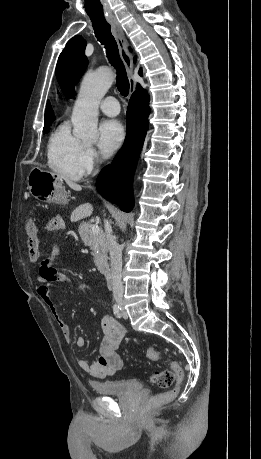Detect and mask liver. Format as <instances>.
<instances>
[{
  "label": "liver",
  "mask_w": 261,
  "mask_h": 459,
  "mask_svg": "<svg viewBox=\"0 0 261 459\" xmlns=\"http://www.w3.org/2000/svg\"><path fill=\"white\" fill-rule=\"evenodd\" d=\"M59 177L62 179L61 176H59ZM66 183L68 184V186L71 189H73L75 191H81L82 190V187L79 184H76V183L71 182L69 180H66ZM92 211H93V207H92L91 204H89V203L82 204L79 207H77L75 209V211L73 212L72 220H77V219H80V218L88 217V216H90L92 214Z\"/></svg>",
  "instance_id": "1"
}]
</instances>
